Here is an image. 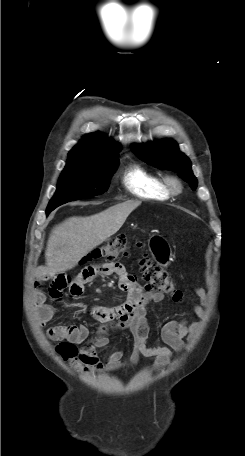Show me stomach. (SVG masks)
I'll return each mask as SVG.
<instances>
[{"instance_id":"0dacf381","label":"stomach","mask_w":245,"mask_h":456,"mask_svg":"<svg viewBox=\"0 0 245 456\" xmlns=\"http://www.w3.org/2000/svg\"><path fill=\"white\" fill-rule=\"evenodd\" d=\"M153 258L162 265H167L171 259V250L168 243L160 236L151 239L149 245Z\"/></svg>"}]
</instances>
